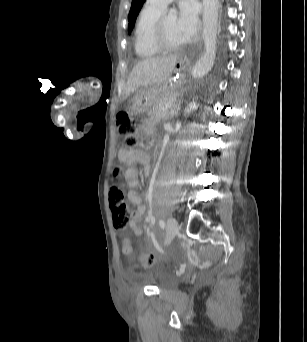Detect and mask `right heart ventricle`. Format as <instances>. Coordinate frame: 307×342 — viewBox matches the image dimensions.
I'll return each instance as SVG.
<instances>
[{
	"label": "right heart ventricle",
	"mask_w": 307,
	"mask_h": 342,
	"mask_svg": "<svg viewBox=\"0 0 307 342\" xmlns=\"http://www.w3.org/2000/svg\"><path fill=\"white\" fill-rule=\"evenodd\" d=\"M160 14L148 7L140 9L133 32V47L135 55L141 60H150L160 53L151 43V31L154 22Z\"/></svg>",
	"instance_id": "right-heart-ventricle-1"
}]
</instances>
